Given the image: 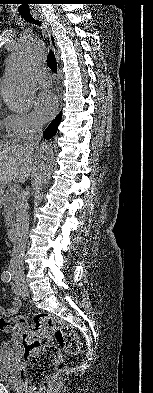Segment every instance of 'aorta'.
<instances>
[{
	"mask_svg": "<svg viewBox=\"0 0 153 393\" xmlns=\"http://www.w3.org/2000/svg\"><path fill=\"white\" fill-rule=\"evenodd\" d=\"M44 54V44L31 35L19 41L8 56L6 75L0 86L4 103L12 112L28 111L34 100V72ZM36 180L39 186L49 183L54 163L50 142L41 143L35 152Z\"/></svg>",
	"mask_w": 153,
	"mask_h": 393,
	"instance_id": "obj_1",
	"label": "aorta"
}]
</instances>
